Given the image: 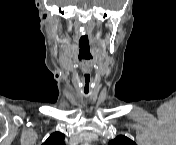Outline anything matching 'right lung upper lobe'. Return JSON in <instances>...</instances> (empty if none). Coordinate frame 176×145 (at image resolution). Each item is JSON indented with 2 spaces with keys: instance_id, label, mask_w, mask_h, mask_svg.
I'll list each match as a JSON object with an SVG mask.
<instances>
[{
  "instance_id": "right-lung-upper-lobe-1",
  "label": "right lung upper lobe",
  "mask_w": 176,
  "mask_h": 145,
  "mask_svg": "<svg viewBox=\"0 0 176 145\" xmlns=\"http://www.w3.org/2000/svg\"><path fill=\"white\" fill-rule=\"evenodd\" d=\"M65 135L61 132L52 133L43 145H65Z\"/></svg>"
}]
</instances>
